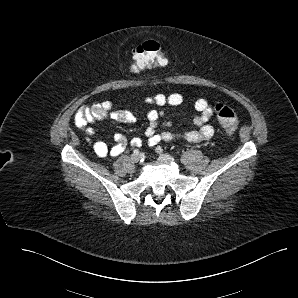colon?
<instances>
[{
    "label": "colon",
    "instance_id": "1",
    "mask_svg": "<svg viewBox=\"0 0 298 298\" xmlns=\"http://www.w3.org/2000/svg\"><path fill=\"white\" fill-rule=\"evenodd\" d=\"M167 65L165 52L156 41H146L136 46L132 51V70L141 72L149 67H164ZM216 117L224 131L232 135L238 128V118L235 111L223 104L214 106Z\"/></svg>",
    "mask_w": 298,
    "mask_h": 298
}]
</instances>
